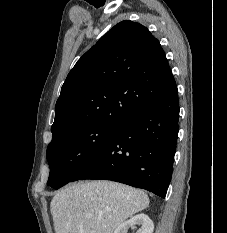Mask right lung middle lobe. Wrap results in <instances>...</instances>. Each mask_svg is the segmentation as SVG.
I'll return each mask as SVG.
<instances>
[{"label": "right lung middle lobe", "mask_w": 227, "mask_h": 233, "mask_svg": "<svg viewBox=\"0 0 227 233\" xmlns=\"http://www.w3.org/2000/svg\"><path fill=\"white\" fill-rule=\"evenodd\" d=\"M118 127L119 124H89L53 137L46 153L50 166L47 185L59 189L69 183Z\"/></svg>", "instance_id": "obj_1"}]
</instances>
